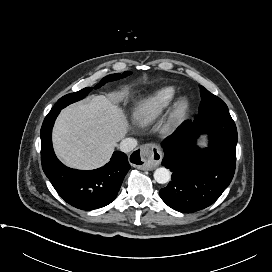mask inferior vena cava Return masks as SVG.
Wrapping results in <instances>:
<instances>
[{
  "instance_id": "obj_1",
  "label": "inferior vena cava",
  "mask_w": 272,
  "mask_h": 272,
  "mask_svg": "<svg viewBox=\"0 0 272 272\" xmlns=\"http://www.w3.org/2000/svg\"><path fill=\"white\" fill-rule=\"evenodd\" d=\"M137 146V140L134 138H125L120 142V150L124 153L131 152Z\"/></svg>"
}]
</instances>
